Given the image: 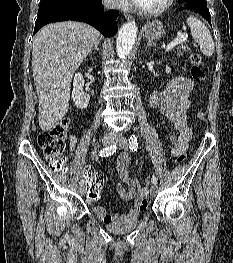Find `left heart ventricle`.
Listing matches in <instances>:
<instances>
[{
    "mask_svg": "<svg viewBox=\"0 0 233 263\" xmlns=\"http://www.w3.org/2000/svg\"><path fill=\"white\" fill-rule=\"evenodd\" d=\"M166 0H138L136 2L142 8L155 9L162 6Z\"/></svg>",
    "mask_w": 233,
    "mask_h": 263,
    "instance_id": "obj_1",
    "label": "left heart ventricle"
}]
</instances>
